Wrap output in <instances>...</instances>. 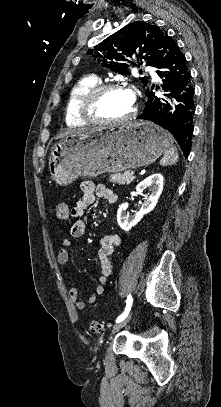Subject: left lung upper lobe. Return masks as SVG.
I'll return each instance as SVG.
<instances>
[{"label":"left lung upper lobe","instance_id":"left-lung-upper-lobe-1","mask_svg":"<svg viewBox=\"0 0 221 407\" xmlns=\"http://www.w3.org/2000/svg\"><path fill=\"white\" fill-rule=\"evenodd\" d=\"M171 37L159 27L142 21L130 23L116 33L89 49L87 54L101 62V65L122 75L129 74L127 63L135 58L147 65L157 67L168 51ZM146 85L148 79L140 78Z\"/></svg>","mask_w":221,"mask_h":407}]
</instances>
